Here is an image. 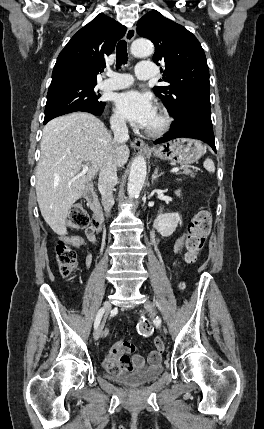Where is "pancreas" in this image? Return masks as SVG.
<instances>
[{"label": "pancreas", "instance_id": "pancreas-1", "mask_svg": "<svg viewBox=\"0 0 264 429\" xmlns=\"http://www.w3.org/2000/svg\"><path fill=\"white\" fill-rule=\"evenodd\" d=\"M180 174H186L190 175L191 177H195L194 172L188 166H185Z\"/></svg>", "mask_w": 264, "mask_h": 429}]
</instances>
